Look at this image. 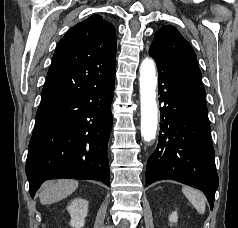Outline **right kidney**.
<instances>
[{
  "label": "right kidney",
  "instance_id": "ca27d5eb",
  "mask_svg": "<svg viewBox=\"0 0 238 228\" xmlns=\"http://www.w3.org/2000/svg\"><path fill=\"white\" fill-rule=\"evenodd\" d=\"M88 201L82 198H75L69 204L67 210L70 213V225L72 228H83L88 213Z\"/></svg>",
  "mask_w": 238,
  "mask_h": 228
}]
</instances>
